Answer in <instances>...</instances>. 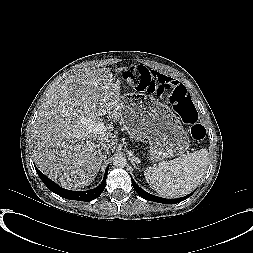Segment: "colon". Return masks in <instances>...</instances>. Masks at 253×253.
Instances as JSON below:
<instances>
[{"label": "colon", "instance_id": "5ec220e1", "mask_svg": "<svg viewBox=\"0 0 253 253\" xmlns=\"http://www.w3.org/2000/svg\"><path fill=\"white\" fill-rule=\"evenodd\" d=\"M149 71L138 65H132L124 71V78L133 83L136 79H147ZM168 91L174 110L181 119L191 125L190 134L193 140L200 142L204 139L205 128L198 123L197 111L185 89L181 84L175 83L170 87H161L159 92Z\"/></svg>", "mask_w": 253, "mask_h": 253}]
</instances>
